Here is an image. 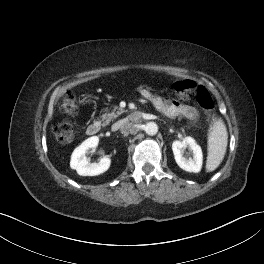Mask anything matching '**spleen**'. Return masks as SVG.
<instances>
[{
	"label": "spleen",
	"instance_id": "3e777b00",
	"mask_svg": "<svg viewBox=\"0 0 264 264\" xmlns=\"http://www.w3.org/2000/svg\"><path fill=\"white\" fill-rule=\"evenodd\" d=\"M227 142L226 126L221 119H218L213 123L208 134L207 172H212L219 167L226 153Z\"/></svg>",
	"mask_w": 264,
	"mask_h": 264
}]
</instances>
